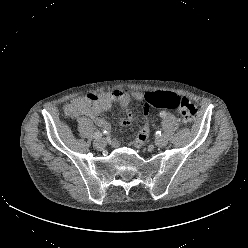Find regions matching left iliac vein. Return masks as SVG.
<instances>
[{
  "label": "left iliac vein",
  "mask_w": 248,
  "mask_h": 248,
  "mask_svg": "<svg viewBox=\"0 0 248 248\" xmlns=\"http://www.w3.org/2000/svg\"><path fill=\"white\" fill-rule=\"evenodd\" d=\"M168 143L166 136H159L156 139V145L158 147H164Z\"/></svg>",
  "instance_id": "4c4485c4"
}]
</instances>
